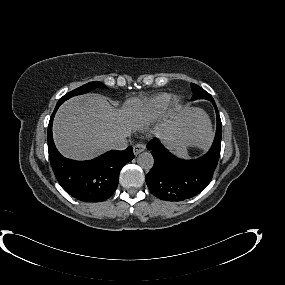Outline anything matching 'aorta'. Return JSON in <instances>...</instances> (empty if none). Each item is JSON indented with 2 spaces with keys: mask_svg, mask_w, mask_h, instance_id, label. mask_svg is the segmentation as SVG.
<instances>
[{
  "mask_svg": "<svg viewBox=\"0 0 285 285\" xmlns=\"http://www.w3.org/2000/svg\"><path fill=\"white\" fill-rule=\"evenodd\" d=\"M137 163L140 167H142L145 170H149L154 165V158L151 153L149 152H143L139 154Z\"/></svg>",
  "mask_w": 285,
  "mask_h": 285,
  "instance_id": "obj_1",
  "label": "aorta"
}]
</instances>
